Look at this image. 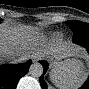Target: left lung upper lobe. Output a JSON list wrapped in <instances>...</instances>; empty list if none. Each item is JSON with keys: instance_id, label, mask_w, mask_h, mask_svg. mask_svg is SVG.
<instances>
[{"instance_id": "obj_1", "label": "left lung upper lobe", "mask_w": 89, "mask_h": 89, "mask_svg": "<svg viewBox=\"0 0 89 89\" xmlns=\"http://www.w3.org/2000/svg\"><path fill=\"white\" fill-rule=\"evenodd\" d=\"M66 24L75 33L87 32L89 33V24L80 21H67Z\"/></svg>"}]
</instances>
